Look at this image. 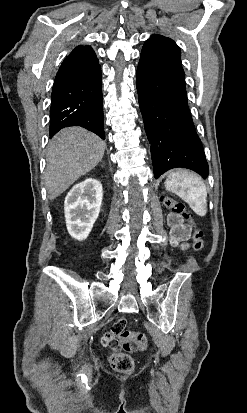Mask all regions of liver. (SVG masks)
<instances>
[{"instance_id": "liver-1", "label": "liver", "mask_w": 247, "mask_h": 413, "mask_svg": "<svg viewBox=\"0 0 247 413\" xmlns=\"http://www.w3.org/2000/svg\"><path fill=\"white\" fill-rule=\"evenodd\" d=\"M106 142L97 134L68 126L59 130L47 150L44 172L48 198H56L79 176L92 170L103 158Z\"/></svg>"}]
</instances>
